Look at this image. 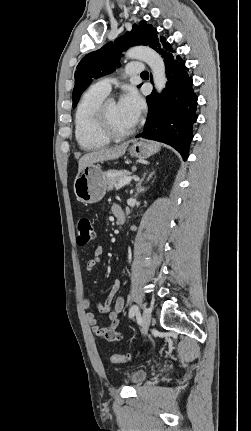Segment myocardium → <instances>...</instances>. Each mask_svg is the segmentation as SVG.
Returning a JSON list of instances; mask_svg holds the SVG:
<instances>
[{
	"mask_svg": "<svg viewBox=\"0 0 251 431\" xmlns=\"http://www.w3.org/2000/svg\"><path fill=\"white\" fill-rule=\"evenodd\" d=\"M114 100L111 98L104 99L99 105L96 112V128L97 130L109 139H121L130 136L136 129V123L127 130L115 129L109 119L108 105Z\"/></svg>",
	"mask_w": 251,
	"mask_h": 431,
	"instance_id": "f54148a6",
	"label": "myocardium"
}]
</instances>
